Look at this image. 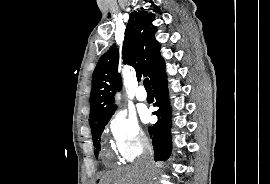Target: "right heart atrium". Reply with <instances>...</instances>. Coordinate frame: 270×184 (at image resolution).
I'll use <instances>...</instances> for the list:
<instances>
[{
	"label": "right heart atrium",
	"instance_id": "1",
	"mask_svg": "<svg viewBox=\"0 0 270 184\" xmlns=\"http://www.w3.org/2000/svg\"><path fill=\"white\" fill-rule=\"evenodd\" d=\"M107 129L115 151L124 162L134 161L148 144L136 118L123 111L115 112L111 116Z\"/></svg>",
	"mask_w": 270,
	"mask_h": 184
}]
</instances>
